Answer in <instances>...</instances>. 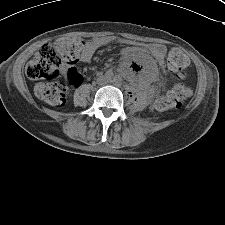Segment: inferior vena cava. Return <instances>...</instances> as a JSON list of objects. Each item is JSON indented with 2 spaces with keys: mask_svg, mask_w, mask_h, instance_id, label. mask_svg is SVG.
I'll return each instance as SVG.
<instances>
[{
  "mask_svg": "<svg viewBox=\"0 0 225 225\" xmlns=\"http://www.w3.org/2000/svg\"><path fill=\"white\" fill-rule=\"evenodd\" d=\"M106 83H107L106 81H103V82L100 83V85H104V84H106Z\"/></svg>",
  "mask_w": 225,
  "mask_h": 225,
  "instance_id": "obj_1",
  "label": "inferior vena cava"
}]
</instances>
